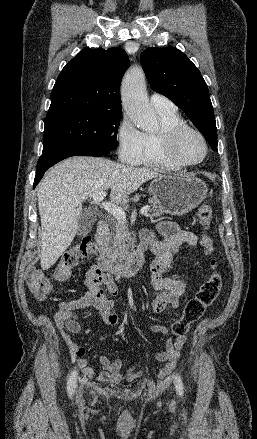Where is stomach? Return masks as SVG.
I'll list each match as a JSON object with an SVG mask.
<instances>
[{
  "instance_id": "0dacf381",
  "label": "stomach",
  "mask_w": 257,
  "mask_h": 439,
  "mask_svg": "<svg viewBox=\"0 0 257 439\" xmlns=\"http://www.w3.org/2000/svg\"><path fill=\"white\" fill-rule=\"evenodd\" d=\"M149 191L166 212L184 215L206 198L208 187L204 181L191 175H163L151 182Z\"/></svg>"
}]
</instances>
